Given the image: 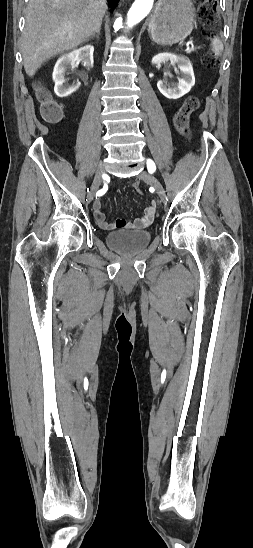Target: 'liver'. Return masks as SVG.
Returning a JSON list of instances; mask_svg holds the SVG:
<instances>
[{"mask_svg":"<svg viewBox=\"0 0 253 548\" xmlns=\"http://www.w3.org/2000/svg\"><path fill=\"white\" fill-rule=\"evenodd\" d=\"M106 10V0H30L21 40L26 74L33 77L46 60L86 42Z\"/></svg>","mask_w":253,"mask_h":548,"instance_id":"1","label":"liver"}]
</instances>
